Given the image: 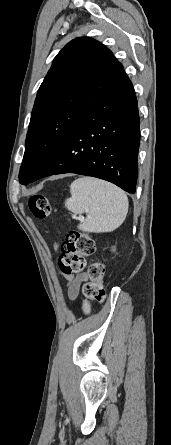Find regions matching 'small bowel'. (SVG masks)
<instances>
[{
  "mask_svg": "<svg viewBox=\"0 0 171 445\" xmlns=\"http://www.w3.org/2000/svg\"><path fill=\"white\" fill-rule=\"evenodd\" d=\"M54 249L56 251L59 250L58 243L54 245ZM59 273L66 280L67 295L69 300L71 301L75 300L79 295L81 285L88 279V274L85 272H74L67 274L64 273L61 269L59 270Z\"/></svg>",
  "mask_w": 171,
  "mask_h": 445,
  "instance_id": "1",
  "label": "small bowel"
}]
</instances>
